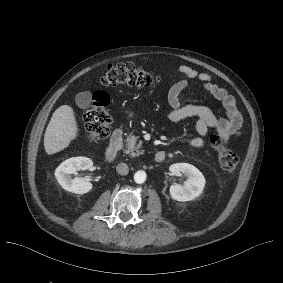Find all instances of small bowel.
Here are the masks:
<instances>
[{"instance_id": "small-bowel-1", "label": "small bowel", "mask_w": 283, "mask_h": 283, "mask_svg": "<svg viewBox=\"0 0 283 283\" xmlns=\"http://www.w3.org/2000/svg\"><path fill=\"white\" fill-rule=\"evenodd\" d=\"M178 71L183 77L168 90L167 100L172 108L168 119L173 123L187 118L197 119L195 123L197 136L189 139L188 144L195 148L203 147L204 138L210 130H215L225 141L238 136L241 133L243 119L235 98L225 88L215 84L213 77L208 73L199 72L188 65L179 66ZM193 81L199 82L205 91L222 102L225 109L223 116H216L204 105L183 103L181 94Z\"/></svg>"}]
</instances>
